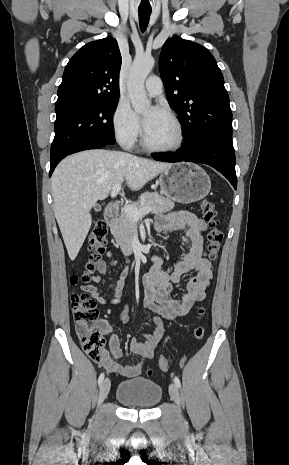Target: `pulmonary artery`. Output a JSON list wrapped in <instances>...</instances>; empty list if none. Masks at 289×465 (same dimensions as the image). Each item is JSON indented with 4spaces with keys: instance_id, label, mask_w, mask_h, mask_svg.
Instances as JSON below:
<instances>
[{
    "instance_id": "e3ab8cb5",
    "label": "pulmonary artery",
    "mask_w": 289,
    "mask_h": 465,
    "mask_svg": "<svg viewBox=\"0 0 289 465\" xmlns=\"http://www.w3.org/2000/svg\"><path fill=\"white\" fill-rule=\"evenodd\" d=\"M145 89L148 94L155 96L162 92V81L160 77L152 75L148 77L145 83Z\"/></svg>"
}]
</instances>
